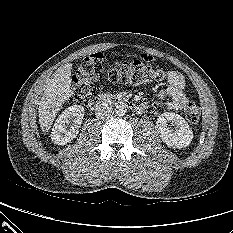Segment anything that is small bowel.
I'll list each match as a JSON object with an SVG mask.
<instances>
[{
  "label": "small bowel",
  "mask_w": 233,
  "mask_h": 233,
  "mask_svg": "<svg viewBox=\"0 0 233 233\" xmlns=\"http://www.w3.org/2000/svg\"><path fill=\"white\" fill-rule=\"evenodd\" d=\"M146 60H151L150 56H145ZM168 86L165 90L158 93L157 98L162 100L164 98H169L168 108L171 110H180L188 102L187 96L185 94V79L177 71H169L167 73ZM143 109H145L142 106Z\"/></svg>",
  "instance_id": "obj_1"
}]
</instances>
